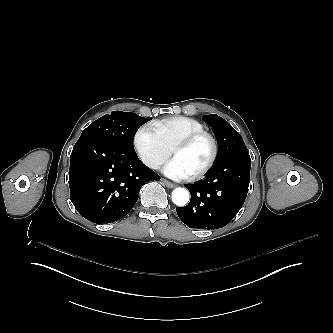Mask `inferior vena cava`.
<instances>
[{
    "instance_id": "602c4592",
    "label": "inferior vena cava",
    "mask_w": 333,
    "mask_h": 333,
    "mask_svg": "<svg viewBox=\"0 0 333 333\" xmlns=\"http://www.w3.org/2000/svg\"><path fill=\"white\" fill-rule=\"evenodd\" d=\"M155 169H159L160 168V164H157L154 166Z\"/></svg>"
}]
</instances>
